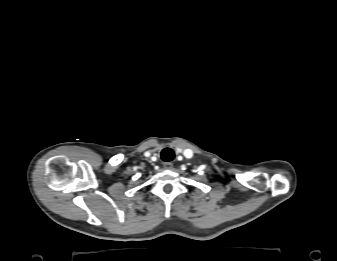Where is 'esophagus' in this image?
<instances>
[{
    "instance_id": "obj_1",
    "label": "esophagus",
    "mask_w": 337,
    "mask_h": 261,
    "mask_svg": "<svg viewBox=\"0 0 337 261\" xmlns=\"http://www.w3.org/2000/svg\"><path fill=\"white\" fill-rule=\"evenodd\" d=\"M163 166H164V168L165 169H172V167H173V163L172 162H165L164 164H163Z\"/></svg>"
}]
</instances>
